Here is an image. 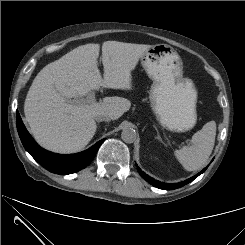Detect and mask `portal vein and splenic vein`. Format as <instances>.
Wrapping results in <instances>:
<instances>
[{
  "mask_svg": "<svg viewBox=\"0 0 245 245\" xmlns=\"http://www.w3.org/2000/svg\"><path fill=\"white\" fill-rule=\"evenodd\" d=\"M96 102L97 100L94 92L88 94L86 98H76L72 100V103L74 104H94Z\"/></svg>",
  "mask_w": 245,
  "mask_h": 245,
  "instance_id": "1",
  "label": "portal vein and splenic vein"
}]
</instances>
